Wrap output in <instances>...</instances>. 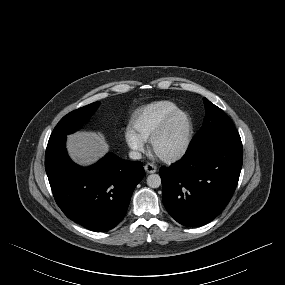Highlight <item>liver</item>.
<instances>
[{"label": "liver", "mask_w": 285, "mask_h": 285, "mask_svg": "<svg viewBox=\"0 0 285 285\" xmlns=\"http://www.w3.org/2000/svg\"><path fill=\"white\" fill-rule=\"evenodd\" d=\"M68 152L80 165H90L108 151V144L101 133L79 131L69 135Z\"/></svg>", "instance_id": "1"}]
</instances>
